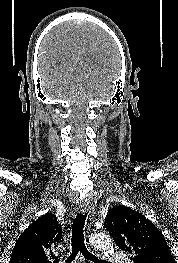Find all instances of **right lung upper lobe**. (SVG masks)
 Instances as JSON below:
<instances>
[{"instance_id": "1", "label": "right lung upper lobe", "mask_w": 178, "mask_h": 263, "mask_svg": "<svg viewBox=\"0 0 178 263\" xmlns=\"http://www.w3.org/2000/svg\"><path fill=\"white\" fill-rule=\"evenodd\" d=\"M62 227L56 215L47 213L34 221L18 238L10 263H51L60 242Z\"/></svg>"}]
</instances>
